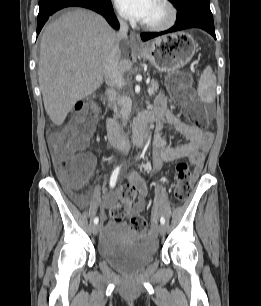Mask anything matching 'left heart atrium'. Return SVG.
<instances>
[{"instance_id":"39dd6f15","label":"left heart atrium","mask_w":261,"mask_h":306,"mask_svg":"<svg viewBox=\"0 0 261 306\" xmlns=\"http://www.w3.org/2000/svg\"><path fill=\"white\" fill-rule=\"evenodd\" d=\"M153 0H115L120 14L132 21H143Z\"/></svg>"}]
</instances>
